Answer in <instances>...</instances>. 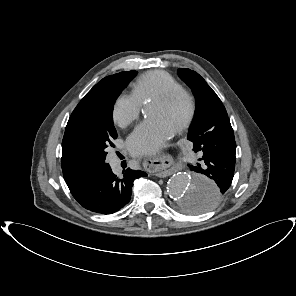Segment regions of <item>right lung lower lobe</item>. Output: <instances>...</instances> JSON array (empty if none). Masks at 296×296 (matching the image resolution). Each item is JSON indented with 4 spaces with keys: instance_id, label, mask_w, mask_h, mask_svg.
Wrapping results in <instances>:
<instances>
[{
    "instance_id": "1",
    "label": "right lung lower lobe",
    "mask_w": 296,
    "mask_h": 296,
    "mask_svg": "<svg viewBox=\"0 0 296 296\" xmlns=\"http://www.w3.org/2000/svg\"><path fill=\"white\" fill-rule=\"evenodd\" d=\"M146 176L143 171L127 168L122 177H117L109 164L104 163L67 185L82 207L95 213L112 214L129 203L133 182Z\"/></svg>"
}]
</instances>
